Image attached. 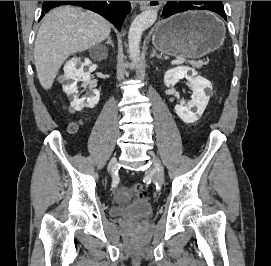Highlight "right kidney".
I'll list each match as a JSON object with an SVG mask.
<instances>
[{
  "instance_id": "ca27d5eb",
  "label": "right kidney",
  "mask_w": 271,
  "mask_h": 266,
  "mask_svg": "<svg viewBox=\"0 0 271 266\" xmlns=\"http://www.w3.org/2000/svg\"><path fill=\"white\" fill-rule=\"evenodd\" d=\"M80 58H72L66 62L64 65V80L65 84H63V91L69 95L73 96V100L70 105L76 111L82 110L84 107L94 108L100 98V93L98 90H92V93L88 94L87 97L79 98L77 95V82L79 80L83 81L82 86L86 88L90 82V71L84 70V67L89 66L91 61L89 59H85L83 63H81ZM80 64V67L77 66Z\"/></svg>"
}]
</instances>
